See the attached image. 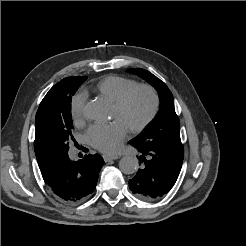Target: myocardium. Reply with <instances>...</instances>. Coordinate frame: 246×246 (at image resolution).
Wrapping results in <instances>:
<instances>
[{"label": "myocardium", "instance_id": "f54148a6", "mask_svg": "<svg viewBox=\"0 0 246 246\" xmlns=\"http://www.w3.org/2000/svg\"><path fill=\"white\" fill-rule=\"evenodd\" d=\"M139 91H146L152 99V107L149 114L138 124L129 127L132 133H139L145 130L155 119L160 108V96L158 91L151 85L138 84L125 92L119 99L114 102V106L118 110H123L127 107L133 96Z\"/></svg>", "mask_w": 246, "mask_h": 246}]
</instances>
